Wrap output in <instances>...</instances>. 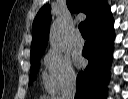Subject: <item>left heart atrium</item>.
I'll return each mask as SVG.
<instances>
[{"mask_svg":"<svg viewBox=\"0 0 128 99\" xmlns=\"http://www.w3.org/2000/svg\"><path fill=\"white\" fill-rule=\"evenodd\" d=\"M76 61H77V64L79 66H83L84 65V60L81 57H78Z\"/></svg>","mask_w":128,"mask_h":99,"instance_id":"39dd6f15","label":"left heart atrium"}]
</instances>
